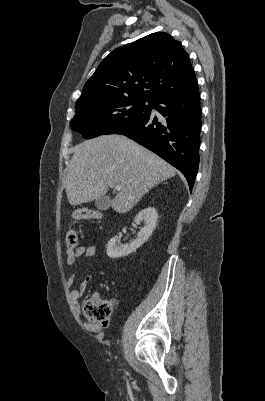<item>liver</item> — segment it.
Instances as JSON below:
<instances>
[{
	"label": "liver",
	"instance_id": "liver-1",
	"mask_svg": "<svg viewBox=\"0 0 265 401\" xmlns=\"http://www.w3.org/2000/svg\"><path fill=\"white\" fill-rule=\"evenodd\" d=\"M176 168L123 134H103L74 148L65 190L70 205L91 203L120 184L111 207L128 213L150 188L175 176Z\"/></svg>",
	"mask_w": 265,
	"mask_h": 401
}]
</instances>
